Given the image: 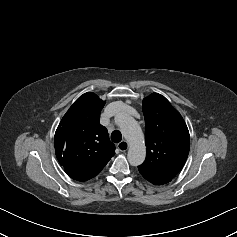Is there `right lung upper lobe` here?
<instances>
[{"label":"right lung upper lobe","mask_w":237,"mask_h":237,"mask_svg":"<svg viewBox=\"0 0 237 237\" xmlns=\"http://www.w3.org/2000/svg\"><path fill=\"white\" fill-rule=\"evenodd\" d=\"M105 102L88 92L63 116L54 137L55 153L66 173L77 181L100 173L115 154L107 129L99 123Z\"/></svg>","instance_id":"obj_1"}]
</instances>
